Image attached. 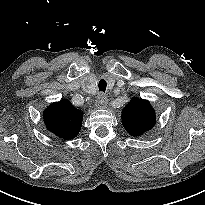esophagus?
<instances>
[{"label":"esophagus","instance_id":"obj_1","mask_svg":"<svg viewBox=\"0 0 205 205\" xmlns=\"http://www.w3.org/2000/svg\"><path fill=\"white\" fill-rule=\"evenodd\" d=\"M107 104H108L107 96L102 93H99L95 101L96 107L100 109L106 108Z\"/></svg>","mask_w":205,"mask_h":205}]
</instances>
